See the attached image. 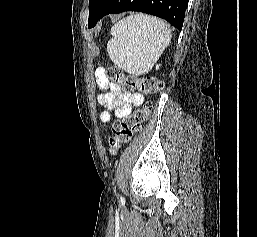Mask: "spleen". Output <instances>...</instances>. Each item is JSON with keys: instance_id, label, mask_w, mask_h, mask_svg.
I'll list each match as a JSON object with an SVG mask.
<instances>
[{"instance_id": "1", "label": "spleen", "mask_w": 257, "mask_h": 237, "mask_svg": "<svg viewBox=\"0 0 257 237\" xmlns=\"http://www.w3.org/2000/svg\"><path fill=\"white\" fill-rule=\"evenodd\" d=\"M107 43L110 59L133 75L150 71L171 39L164 21L144 14L128 16L111 28Z\"/></svg>"}]
</instances>
